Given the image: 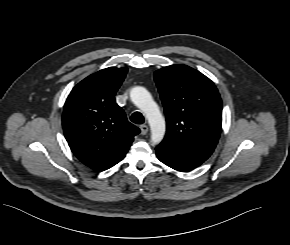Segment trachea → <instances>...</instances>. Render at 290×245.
<instances>
[{"label":"trachea","mask_w":290,"mask_h":245,"mask_svg":"<svg viewBox=\"0 0 290 245\" xmlns=\"http://www.w3.org/2000/svg\"><path fill=\"white\" fill-rule=\"evenodd\" d=\"M130 120L135 124H143L144 123V117L140 112H134L131 115Z\"/></svg>","instance_id":"1"}]
</instances>
